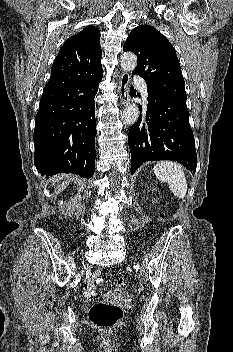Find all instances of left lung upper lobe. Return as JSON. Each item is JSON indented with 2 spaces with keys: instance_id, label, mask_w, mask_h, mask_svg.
I'll return each mask as SVG.
<instances>
[{
  "instance_id": "obj_1",
  "label": "left lung upper lobe",
  "mask_w": 233,
  "mask_h": 352,
  "mask_svg": "<svg viewBox=\"0 0 233 352\" xmlns=\"http://www.w3.org/2000/svg\"><path fill=\"white\" fill-rule=\"evenodd\" d=\"M123 50L137 55L132 74L143 77L148 88L186 104L185 81L176 51L164 35L150 25L138 26L129 34Z\"/></svg>"
}]
</instances>
